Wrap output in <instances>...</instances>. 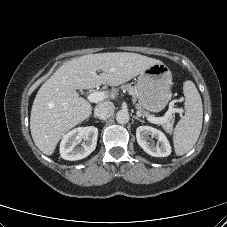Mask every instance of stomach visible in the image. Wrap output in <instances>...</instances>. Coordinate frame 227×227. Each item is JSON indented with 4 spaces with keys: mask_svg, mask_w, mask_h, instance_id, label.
I'll use <instances>...</instances> for the list:
<instances>
[{
    "mask_svg": "<svg viewBox=\"0 0 227 227\" xmlns=\"http://www.w3.org/2000/svg\"><path fill=\"white\" fill-rule=\"evenodd\" d=\"M172 74L164 63L154 64L138 77L137 98L142 108L158 113L171 100Z\"/></svg>",
    "mask_w": 227,
    "mask_h": 227,
    "instance_id": "1",
    "label": "stomach"
}]
</instances>
